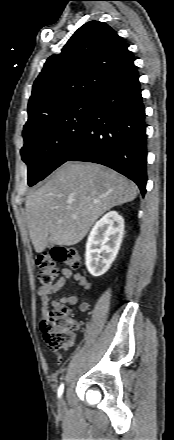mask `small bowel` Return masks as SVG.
Instances as JSON below:
<instances>
[{
  "instance_id": "1",
  "label": "small bowel",
  "mask_w": 174,
  "mask_h": 440,
  "mask_svg": "<svg viewBox=\"0 0 174 440\" xmlns=\"http://www.w3.org/2000/svg\"><path fill=\"white\" fill-rule=\"evenodd\" d=\"M70 279H73L82 289V291H87L91 286L90 282L85 276L79 273H73L69 268H63L62 275L57 278L52 285L47 287L42 286L37 291V295L41 303V319L47 318L50 308H52L54 311H61L77 304L78 297L76 295H67L62 297L56 296V293L63 289L67 284V281ZM88 309L89 303L87 301H83L79 304V310L81 312H85ZM57 355L60 356V354Z\"/></svg>"
}]
</instances>
